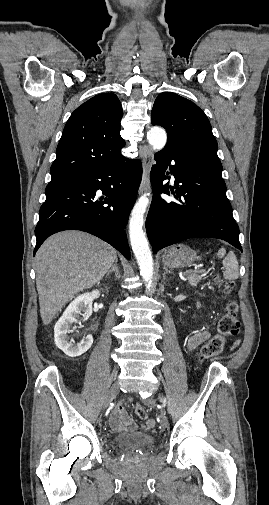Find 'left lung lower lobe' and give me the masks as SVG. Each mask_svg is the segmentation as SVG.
Returning <instances> with one entry per match:
<instances>
[{
    "instance_id": "left-lung-lower-lobe-1",
    "label": "left lung lower lobe",
    "mask_w": 269,
    "mask_h": 505,
    "mask_svg": "<svg viewBox=\"0 0 269 505\" xmlns=\"http://www.w3.org/2000/svg\"><path fill=\"white\" fill-rule=\"evenodd\" d=\"M155 160L157 164L151 170L154 194L146 219L153 253L194 237L222 239L242 251L239 227L226 197L221 162L179 142H169ZM171 161L175 162L169 167L175 187L170 190L176 201L167 202L159 194L170 195L168 184L162 182Z\"/></svg>"
}]
</instances>
